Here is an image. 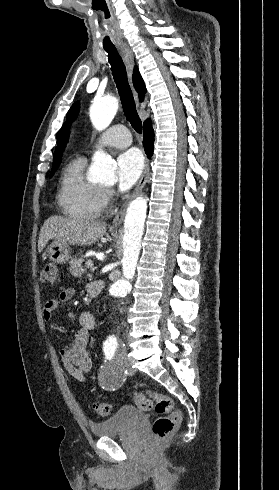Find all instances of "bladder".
Returning a JSON list of instances; mask_svg holds the SVG:
<instances>
[{
    "label": "bladder",
    "instance_id": "obj_1",
    "mask_svg": "<svg viewBox=\"0 0 279 490\" xmlns=\"http://www.w3.org/2000/svg\"><path fill=\"white\" fill-rule=\"evenodd\" d=\"M145 417L146 413L137 406L122 405L113 417L91 422L90 431L94 437H112L120 432L132 431Z\"/></svg>",
    "mask_w": 279,
    "mask_h": 490
}]
</instances>
